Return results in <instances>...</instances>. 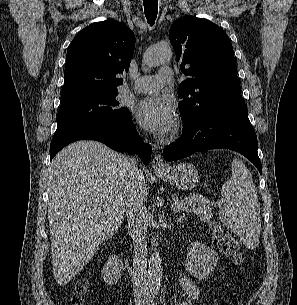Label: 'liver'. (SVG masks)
<instances>
[{"instance_id": "6515ba94", "label": "liver", "mask_w": 297, "mask_h": 305, "mask_svg": "<svg viewBox=\"0 0 297 305\" xmlns=\"http://www.w3.org/2000/svg\"><path fill=\"white\" fill-rule=\"evenodd\" d=\"M127 157L97 141L62 149L48 170V219L52 266L60 286L91 260L103 240L121 226L125 212ZM147 196L144 176L138 184Z\"/></svg>"}]
</instances>
